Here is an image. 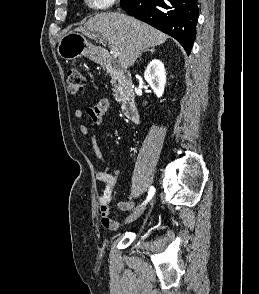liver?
Returning <instances> with one entry per match:
<instances>
[{"mask_svg": "<svg viewBox=\"0 0 259 294\" xmlns=\"http://www.w3.org/2000/svg\"><path fill=\"white\" fill-rule=\"evenodd\" d=\"M77 31L100 36L120 52L118 62L123 69L131 67L142 51L164 43L168 36L133 17L118 12L99 13Z\"/></svg>", "mask_w": 259, "mask_h": 294, "instance_id": "6515ba94", "label": "liver"}]
</instances>
